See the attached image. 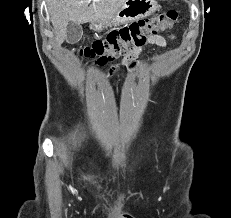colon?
I'll return each instance as SVG.
<instances>
[{"label":"colon","mask_w":231,"mask_h":218,"mask_svg":"<svg viewBox=\"0 0 231 218\" xmlns=\"http://www.w3.org/2000/svg\"><path fill=\"white\" fill-rule=\"evenodd\" d=\"M177 22L178 12L168 10L158 16L139 20L113 31L105 39L94 41L91 45L79 49V54L98 65H104L144 46L150 37L171 29Z\"/></svg>","instance_id":"obj_1"}]
</instances>
